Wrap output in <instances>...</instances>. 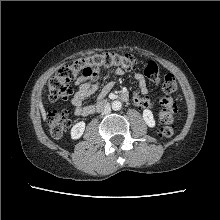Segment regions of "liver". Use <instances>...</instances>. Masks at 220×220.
I'll return each instance as SVG.
<instances>
[{
	"mask_svg": "<svg viewBox=\"0 0 220 220\" xmlns=\"http://www.w3.org/2000/svg\"><path fill=\"white\" fill-rule=\"evenodd\" d=\"M39 109L41 111V115H42L43 120H45L46 119V111H45L44 106L41 101L39 102Z\"/></svg>",
	"mask_w": 220,
	"mask_h": 220,
	"instance_id": "liver-1",
	"label": "liver"
}]
</instances>
